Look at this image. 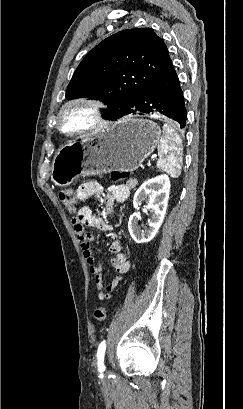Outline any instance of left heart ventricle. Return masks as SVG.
Returning a JSON list of instances; mask_svg holds the SVG:
<instances>
[{
    "label": "left heart ventricle",
    "instance_id": "b2bd125f",
    "mask_svg": "<svg viewBox=\"0 0 243 409\" xmlns=\"http://www.w3.org/2000/svg\"><path fill=\"white\" fill-rule=\"evenodd\" d=\"M92 119L89 112L81 106L70 108L62 118L63 129L67 132H76L89 127Z\"/></svg>",
    "mask_w": 243,
    "mask_h": 409
}]
</instances>
